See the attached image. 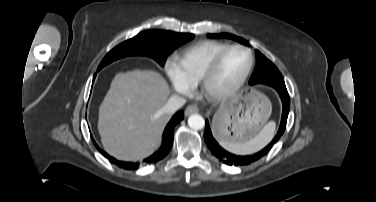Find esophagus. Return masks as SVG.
Returning <instances> with one entry per match:
<instances>
[{
    "label": "esophagus",
    "mask_w": 376,
    "mask_h": 202,
    "mask_svg": "<svg viewBox=\"0 0 376 202\" xmlns=\"http://www.w3.org/2000/svg\"><path fill=\"white\" fill-rule=\"evenodd\" d=\"M198 107L196 105H189L186 110H185V115L188 116L190 114H193V113H197L198 112Z\"/></svg>",
    "instance_id": "obj_1"
}]
</instances>
